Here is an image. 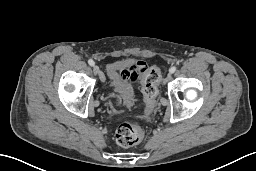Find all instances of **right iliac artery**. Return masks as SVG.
<instances>
[{"label": "right iliac artery", "instance_id": "right-iliac-artery-1", "mask_svg": "<svg viewBox=\"0 0 256 171\" xmlns=\"http://www.w3.org/2000/svg\"><path fill=\"white\" fill-rule=\"evenodd\" d=\"M88 63H89L90 66H94V64H95L92 59H89V60H88Z\"/></svg>", "mask_w": 256, "mask_h": 171}]
</instances>
